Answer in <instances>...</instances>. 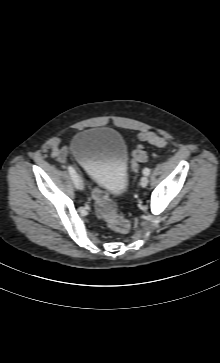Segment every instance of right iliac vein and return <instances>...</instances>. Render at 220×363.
I'll return each mask as SVG.
<instances>
[{"label":"right iliac vein","mask_w":220,"mask_h":363,"mask_svg":"<svg viewBox=\"0 0 220 363\" xmlns=\"http://www.w3.org/2000/svg\"><path fill=\"white\" fill-rule=\"evenodd\" d=\"M77 187L82 190L84 188L83 179L81 176L77 175Z\"/></svg>","instance_id":"63e3f726"}]
</instances>
